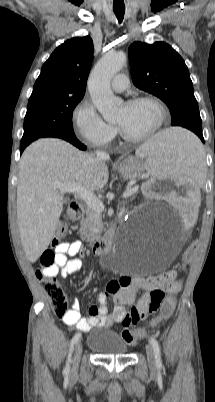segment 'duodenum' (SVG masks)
Returning a JSON list of instances; mask_svg holds the SVG:
<instances>
[{
	"label": "duodenum",
	"instance_id": "410a0bca",
	"mask_svg": "<svg viewBox=\"0 0 215 402\" xmlns=\"http://www.w3.org/2000/svg\"><path fill=\"white\" fill-rule=\"evenodd\" d=\"M84 209L79 203H73L69 210V217L72 220H78L83 216ZM114 245V232L112 230L108 231L106 235L93 243H91L90 248L93 254L97 256H104L108 254Z\"/></svg>",
	"mask_w": 215,
	"mask_h": 402
}]
</instances>
